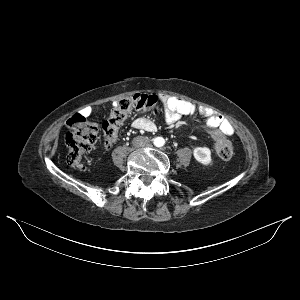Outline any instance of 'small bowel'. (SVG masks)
Returning a JSON list of instances; mask_svg holds the SVG:
<instances>
[{
	"label": "small bowel",
	"mask_w": 300,
	"mask_h": 300,
	"mask_svg": "<svg viewBox=\"0 0 300 300\" xmlns=\"http://www.w3.org/2000/svg\"><path fill=\"white\" fill-rule=\"evenodd\" d=\"M161 101L165 106V121L173 124L180 119L182 115L198 114L206 118V124L210 129H217L220 136H231L234 133L232 124L216 111L207 106H199L179 97L163 95ZM97 109L93 107L84 108L79 115L89 117ZM133 127L147 132H154L156 125L151 120L139 117L134 120Z\"/></svg>",
	"instance_id": "small-bowel-1"
}]
</instances>
